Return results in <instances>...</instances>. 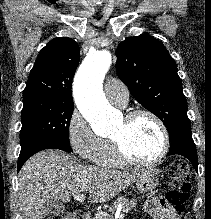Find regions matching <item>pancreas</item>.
Returning <instances> with one entry per match:
<instances>
[{"label": "pancreas", "instance_id": "1", "mask_svg": "<svg viewBox=\"0 0 211 219\" xmlns=\"http://www.w3.org/2000/svg\"><path fill=\"white\" fill-rule=\"evenodd\" d=\"M121 204L122 205V211L124 213H128L132 208H134L137 204L136 199H126L124 197H120L112 206V208L110 209V212H113L117 205ZM94 219H112L111 216H109V214L106 213H102V214H98Z\"/></svg>", "mask_w": 211, "mask_h": 219}]
</instances>
